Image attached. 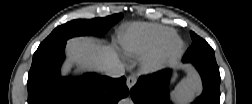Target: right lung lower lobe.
<instances>
[{"label":"right lung lower lobe","mask_w":252,"mask_h":104,"mask_svg":"<svg viewBox=\"0 0 252 104\" xmlns=\"http://www.w3.org/2000/svg\"><path fill=\"white\" fill-rule=\"evenodd\" d=\"M65 42L38 48L28 73L29 104H116L128 95L126 78L88 73L79 78L61 77Z\"/></svg>","instance_id":"right-lung-lower-lobe-1"}]
</instances>
